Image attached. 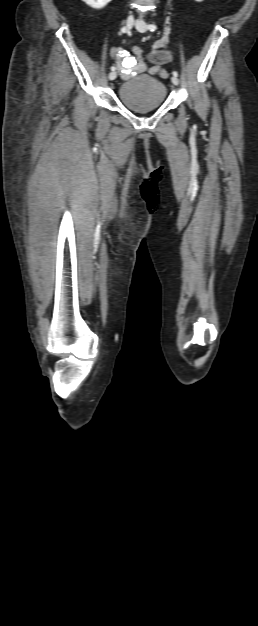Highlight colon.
<instances>
[{
	"label": "colon",
	"mask_w": 258,
	"mask_h": 626,
	"mask_svg": "<svg viewBox=\"0 0 258 626\" xmlns=\"http://www.w3.org/2000/svg\"><path fill=\"white\" fill-rule=\"evenodd\" d=\"M133 52L138 56L142 54L141 49L138 47H134ZM169 57L170 55L166 49L156 50L155 53L153 54V59L157 62H165L169 59Z\"/></svg>",
	"instance_id": "colon-1"
}]
</instances>
